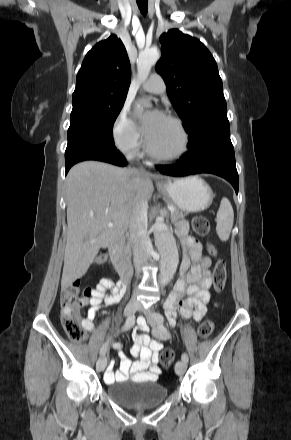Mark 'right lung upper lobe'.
Instances as JSON below:
<instances>
[{"label": "right lung upper lobe", "mask_w": 291, "mask_h": 440, "mask_svg": "<svg viewBox=\"0 0 291 440\" xmlns=\"http://www.w3.org/2000/svg\"><path fill=\"white\" fill-rule=\"evenodd\" d=\"M131 67L120 39L111 35L85 56L77 74L72 103L82 100L126 99Z\"/></svg>", "instance_id": "1"}]
</instances>
